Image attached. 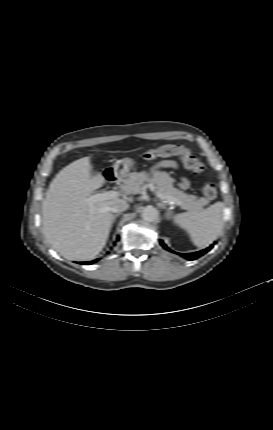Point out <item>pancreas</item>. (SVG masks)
I'll return each mask as SVG.
<instances>
[{
  "label": "pancreas",
  "instance_id": "cf45deb5",
  "mask_svg": "<svg viewBox=\"0 0 273 430\" xmlns=\"http://www.w3.org/2000/svg\"><path fill=\"white\" fill-rule=\"evenodd\" d=\"M146 182L155 185L160 193L178 199L182 209L199 212L203 210L204 205L208 204V200L204 197L198 198L174 188L173 178L165 171H155L152 176L145 171L130 173L125 181V188L130 192L138 193Z\"/></svg>",
  "mask_w": 273,
  "mask_h": 430
}]
</instances>
